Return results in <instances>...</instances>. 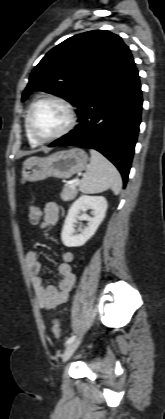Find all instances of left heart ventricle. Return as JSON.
<instances>
[{
  "label": "left heart ventricle",
  "instance_id": "left-heart-ventricle-1",
  "mask_svg": "<svg viewBox=\"0 0 165 419\" xmlns=\"http://www.w3.org/2000/svg\"><path fill=\"white\" fill-rule=\"evenodd\" d=\"M68 121L65 109L58 103L46 101L34 110L32 123L35 132L43 138L58 133Z\"/></svg>",
  "mask_w": 165,
  "mask_h": 419
}]
</instances>
